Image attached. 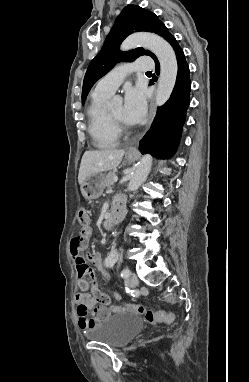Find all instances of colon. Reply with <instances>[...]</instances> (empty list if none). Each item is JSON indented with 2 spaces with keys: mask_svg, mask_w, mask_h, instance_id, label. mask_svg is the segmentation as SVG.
<instances>
[{
  "mask_svg": "<svg viewBox=\"0 0 249 382\" xmlns=\"http://www.w3.org/2000/svg\"><path fill=\"white\" fill-rule=\"evenodd\" d=\"M78 221L82 227V230L89 228V225L91 222L90 211L86 208L79 209ZM76 241H79V239ZM78 249H83L85 253H87L85 247L78 248ZM75 263L77 267V272L79 274L76 276L77 282H82L86 275H88L89 281L94 282L96 280L95 271L93 269H89L88 261H85L84 257L82 259H77ZM92 292L95 297V300L100 305L110 308L113 312H121V311L129 310V311L142 315L145 321L150 324L172 323L175 319L174 315L170 312H164V311L154 312L152 310L147 309L146 307L142 305L118 303L119 301L118 297L112 298L108 294L100 292L94 285H93Z\"/></svg>",
  "mask_w": 249,
  "mask_h": 382,
  "instance_id": "1",
  "label": "colon"
}]
</instances>
